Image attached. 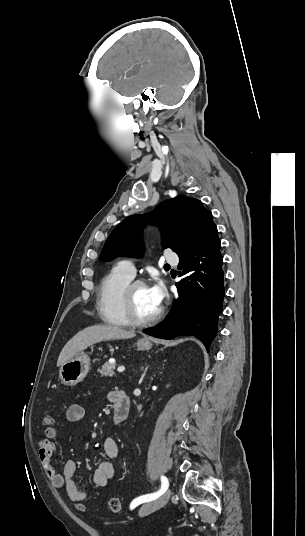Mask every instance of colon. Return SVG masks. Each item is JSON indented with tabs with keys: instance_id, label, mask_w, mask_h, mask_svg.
<instances>
[{
	"instance_id": "5ec220e1",
	"label": "colon",
	"mask_w": 305,
	"mask_h": 536,
	"mask_svg": "<svg viewBox=\"0 0 305 536\" xmlns=\"http://www.w3.org/2000/svg\"><path fill=\"white\" fill-rule=\"evenodd\" d=\"M43 423L45 426H51L53 424V417L51 415H45L43 418ZM74 507L76 509H80L81 511H84L86 509V506L83 504L81 500H76L74 502ZM121 507V504L118 499H112L109 502V508L112 511H118Z\"/></svg>"
}]
</instances>
